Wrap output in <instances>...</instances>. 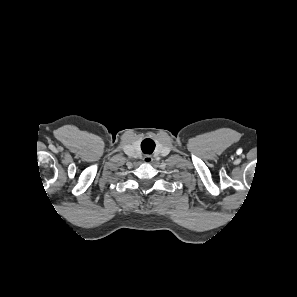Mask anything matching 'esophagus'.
Segmentation results:
<instances>
[{
	"mask_svg": "<svg viewBox=\"0 0 297 297\" xmlns=\"http://www.w3.org/2000/svg\"><path fill=\"white\" fill-rule=\"evenodd\" d=\"M143 161H144V163L149 164L153 161V158L150 155H146V156H144Z\"/></svg>",
	"mask_w": 297,
	"mask_h": 297,
	"instance_id": "34e87169",
	"label": "esophagus"
}]
</instances>
